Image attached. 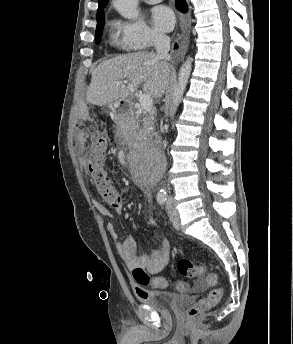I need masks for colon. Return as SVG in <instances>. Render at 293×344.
<instances>
[{"label": "colon", "instance_id": "1", "mask_svg": "<svg viewBox=\"0 0 293 344\" xmlns=\"http://www.w3.org/2000/svg\"><path fill=\"white\" fill-rule=\"evenodd\" d=\"M108 150V140L104 137L98 138L87 157V169L91 180L95 184L100 196L110 205L118 206L121 202L119 192L113 185L106 172V155ZM177 271L180 275L187 278H201L204 275L203 265L194 264L188 259H180L177 264ZM132 276L139 285L152 283L156 287H166L167 281L163 278H150L142 268L132 269ZM217 279L215 274H209L208 280L213 282ZM179 289L183 288V283L178 284ZM223 288L218 287L209 292V294L190 306L187 310V316L195 319L203 312L213 308L221 299Z\"/></svg>", "mask_w": 293, "mask_h": 344}]
</instances>
